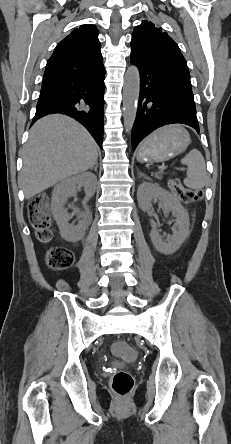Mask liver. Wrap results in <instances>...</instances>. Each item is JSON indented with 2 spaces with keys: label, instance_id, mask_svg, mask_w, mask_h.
I'll use <instances>...</instances> for the list:
<instances>
[{
  "label": "liver",
  "instance_id": "6515ba94",
  "mask_svg": "<svg viewBox=\"0 0 231 444\" xmlns=\"http://www.w3.org/2000/svg\"><path fill=\"white\" fill-rule=\"evenodd\" d=\"M97 157L95 140L77 121L61 114L41 118L32 126L23 148L19 183L25 198L91 169Z\"/></svg>",
  "mask_w": 231,
  "mask_h": 444
}]
</instances>
